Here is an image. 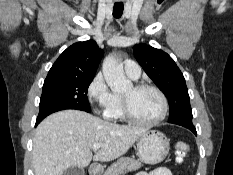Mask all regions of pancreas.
Instances as JSON below:
<instances>
[{
	"instance_id": "obj_1",
	"label": "pancreas",
	"mask_w": 233,
	"mask_h": 175,
	"mask_svg": "<svg viewBox=\"0 0 233 175\" xmlns=\"http://www.w3.org/2000/svg\"><path fill=\"white\" fill-rule=\"evenodd\" d=\"M140 160H135L130 157H122L113 163L103 175H122L128 171L137 170L142 166Z\"/></svg>"
}]
</instances>
